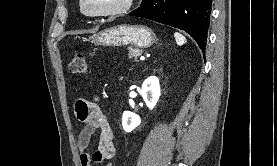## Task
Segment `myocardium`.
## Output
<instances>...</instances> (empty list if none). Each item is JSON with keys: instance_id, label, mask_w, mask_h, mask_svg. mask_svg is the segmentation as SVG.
<instances>
[{"instance_id": "1", "label": "myocardium", "mask_w": 277, "mask_h": 166, "mask_svg": "<svg viewBox=\"0 0 277 166\" xmlns=\"http://www.w3.org/2000/svg\"><path fill=\"white\" fill-rule=\"evenodd\" d=\"M85 0H79V9L80 12L91 18H101V17H111V16H119L127 13L132 7L133 0H123L119 5L114 7H109L99 11H87L84 6Z\"/></svg>"}]
</instances>
